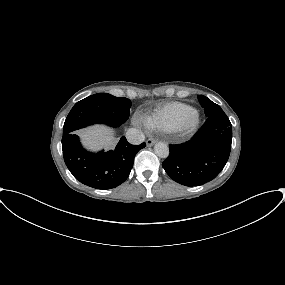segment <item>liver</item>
Masks as SVG:
<instances>
[{
	"label": "liver",
	"mask_w": 285,
	"mask_h": 285,
	"mask_svg": "<svg viewBox=\"0 0 285 285\" xmlns=\"http://www.w3.org/2000/svg\"><path fill=\"white\" fill-rule=\"evenodd\" d=\"M78 135L82 138L83 143L88 148L94 150H105L113 148L116 144V139L113 136V130L105 127L96 125L78 131Z\"/></svg>",
	"instance_id": "6515ba94"
}]
</instances>
